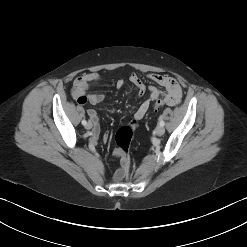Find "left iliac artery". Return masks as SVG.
<instances>
[{"label": "left iliac artery", "instance_id": "left-iliac-artery-1", "mask_svg": "<svg viewBox=\"0 0 247 247\" xmlns=\"http://www.w3.org/2000/svg\"><path fill=\"white\" fill-rule=\"evenodd\" d=\"M159 124H160V126H164L165 122L160 118Z\"/></svg>", "mask_w": 247, "mask_h": 247}]
</instances>
